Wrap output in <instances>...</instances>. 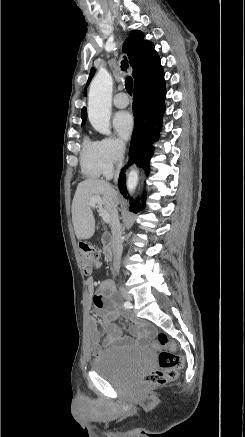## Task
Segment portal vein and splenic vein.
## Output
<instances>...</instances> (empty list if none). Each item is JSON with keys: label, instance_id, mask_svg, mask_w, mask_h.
I'll use <instances>...</instances> for the list:
<instances>
[{"label": "portal vein and splenic vein", "instance_id": "1", "mask_svg": "<svg viewBox=\"0 0 245 437\" xmlns=\"http://www.w3.org/2000/svg\"><path fill=\"white\" fill-rule=\"evenodd\" d=\"M89 205L93 208L98 206L100 215H101L102 219L104 220V222H106V223L110 222V216H109L108 212H106L103 209L102 198L100 196H94V197L90 198Z\"/></svg>", "mask_w": 245, "mask_h": 437}]
</instances>
